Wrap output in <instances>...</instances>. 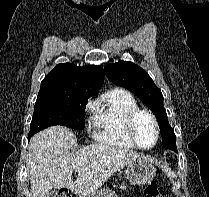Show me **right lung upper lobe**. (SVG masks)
Returning <instances> with one entry per match:
<instances>
[{
    "label": "right lung upper lobe",
    "instance_id": "obj_1",
    "mask_svg": "<svg viewBox=\"0 0 209 197\" xmlns=\"http://www.w3.org/2000/svg\"><path fill=\"white\" fill-rule=\"evenodd\" d=\"M104 71L101 66H76L61 63L44 78L41 84L76 85L86 88L95 94L103 85Z\"/></svg>",
    "mask_w": 209,
    "mask_h": 197
}]
</instances>
